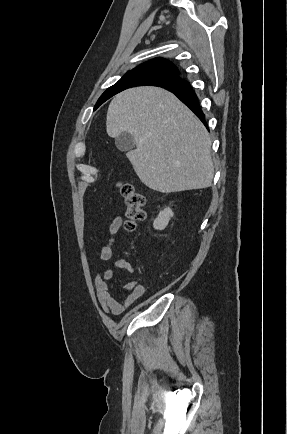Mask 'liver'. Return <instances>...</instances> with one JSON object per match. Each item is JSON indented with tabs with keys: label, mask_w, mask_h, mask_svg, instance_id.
Segmentation results:
<instances>
[{
	"label": "liver",
	"mask_w": 287,
	"mask_h": 434,
	"mask_svg": "<svg viewBox=\"0 0 287 434\" xmlns=\"http://www.w3.org/2000/svg\"><path fill=\"white\" fill-rule=\"evenodd\" d=\"M106 130L130 133L136 149L127 154L137 176L161 193L210 187L214 176L211 139L201 121L173 93L145 86L111 101Z\"/></svg>",
	"instance_id": "obj_1"
}]
</instances>
